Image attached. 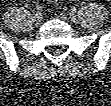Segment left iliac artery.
Wrapping results in <instances>:
<instances>
[{
  "mask_svg": "<svg viewBox=\"0 0 111 106\" xmlns=\"http://www.w3.org/2000/svg\"><path fill=\"white\" fill-rule=\"evenodd\" d=\"M76 11H77V8L73 6V7L71 8V12H72V13H75Z\"/></svg>",
  "mask_w": 111,
  "mask_h": 106,
  "instance_id": "1",
  "label": "left iliac artery"
}]
</instances>
